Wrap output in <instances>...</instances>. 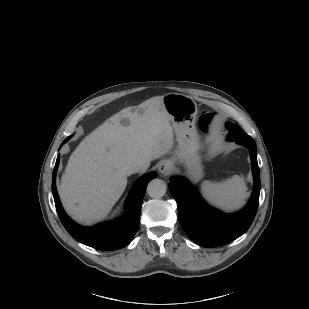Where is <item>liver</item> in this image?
<instances>
[{"instance_id": "6515ba94", "label": "liver", "mask_w": 309, "mask_h": 309, "mask_svg": "<svg viewBox=\"0 0 309 309\" xmlns=\"http://www.w3.org/2000/svg\"><path fill=\"white\" fill-rule=\"evenodd\" d=\"M173 144L163 97L121 110L86 136L70 156L58 188L65 210L84 224L103 219L124 192L130 167L149 165Z\"/></svg>"}]
</instances>
